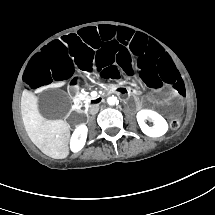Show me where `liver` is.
Instances as JSON below:
<instances>
[{"mask_svg":"<svg viewBox=\"0 0 215 215\" xmlns=\"http://www.w3.org/2000/svg\"><path fill=\"white\" fill-rule=\"evenodd\" d=\"M63 83L51 84V87L62 86ZM22 121L30 140L46 155L64 158L69 154V125L63 120H47L43 118L32 101L31 94L22 93Z\"/></svg>","mask_w":215,"mask_h":215,"instance_id":"obj_1","label":"liver"}]
</instances>
